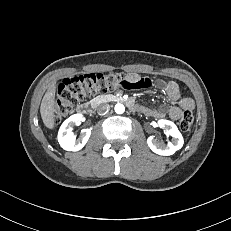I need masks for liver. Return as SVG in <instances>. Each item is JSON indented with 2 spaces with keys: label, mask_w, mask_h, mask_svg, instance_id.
I'll list each match as a JSON object with an SVG mask.
<instances>
[{
  "label": "liver",
  "mask_w": 231,
  "mask_h": 231,
  "mask_svg": "<svg viewBox=\"0 0 231 231\" xmlns=\"http://www.w3.org/2000/svg\"><path fill=\"white\" fill-rule=\"evenodd\" d=\"M55 92L56 83L53 82L46 91L40 106V114L44 125L48 129H54L55 125Z\"/></svg>",
  "instance_id": "liver-1"
}]
</instances>
